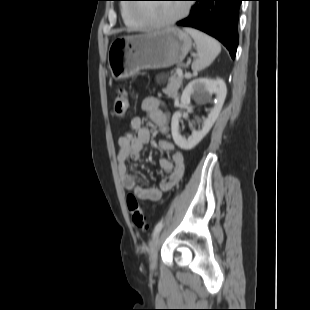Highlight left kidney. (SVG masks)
Listing matches in <instances>:
<instances>
[{
	"instance_id": "obj_1",
	"label": "left kidney",
	"mask_w": 310,
	"mask_h": 310,
	"mask_svg": "<svg viewBox=\"0 0 310 310\" xmlns=\"http://www.w3.org/2000/svg\"><path fill=\"white\" fill-rule=\"evenodd\" d=\"M193 94H196V98L199 102H204L207 100L209 95L215 94L216 103L208 114V118L204 121L202 129L193 131L192 135L189 136L188 139L181 136L179 132V120L182 116L181 112L178 111L174 113L171 121L172 137L175 144L184 150H190L194 148L210 131L222 109L227 94V88L225 82L221 79L213 80L202 78L195 80L189 83L183 91L180 105L181 108H185L189 105L190 97Z\"/></svg>"
}]
</instances>
